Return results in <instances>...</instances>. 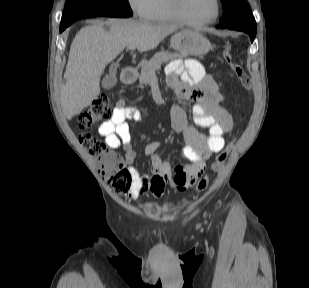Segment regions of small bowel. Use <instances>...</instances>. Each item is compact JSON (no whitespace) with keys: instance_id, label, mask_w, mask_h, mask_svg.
<instances>
[{"instance_id":"small-bowel-1","label":"small bowel","mask_w":309,"mask_h":288,"mask_svg":"<svg viewBox=\"0 0 309 288\" xmlns=\"http://www.w3.org/2000/svg\"><path fill=\"white\" fill-rule=\"evenodd\" d=\"M167 72L169 86L182 99L193 101L194 122L208 129V135L200 134L188 122L185 109L176 105L173 109V127L183 137L185 145L182 153L189 164H177L172 168L170 163L155 154L159 143L152 142L145 151L152 159L154 172L151 177L143 176L132 166L136 153L127 120L142 121L144 118L139 110L128 106L124 99H119L111 118L100 125L98 133L110 148L122 147L125 151V159L130 165L132 176L131 188L126 193L130 200L147 194L161 197L169 180L179 191L193 187L204 174L208 157L223 150L224 137L233 127L231 116L221 105L222 96L218 87L213 79L205 74L198 61H174L168 66Z\"/></svg>"}]
</instances>
